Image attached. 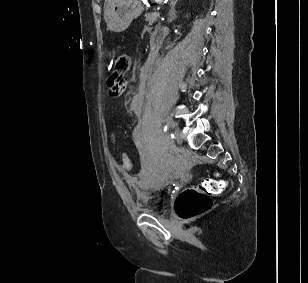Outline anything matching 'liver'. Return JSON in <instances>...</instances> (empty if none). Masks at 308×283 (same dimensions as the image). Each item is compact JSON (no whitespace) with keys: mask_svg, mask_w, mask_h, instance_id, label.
<instances>
[{"mask_svg":"<svg viewBox=\"0 0 308 283\" xmlns=\"http://www.w3.org/2000/svg\"><path fill=\"white\" fill-rule=\"evenodd\" d=\"M106 1H107L106 3V7H107L109 4L113 3L115 0H106Z\"/></svg>","mask_w":308,"mask_h":283,"instance_id":"liver-1","label":"liver"}]
</instances>
